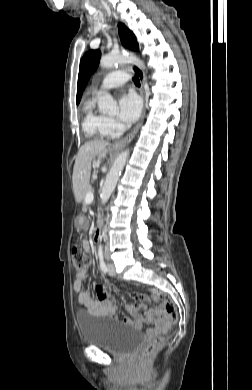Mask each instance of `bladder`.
<instances>
[{"label":"bladder","mask_w":252,"mask_h":390,"mask_svg":"<svg viewBox=\"0 0 252 390\" xmlns=\"http://www.w3.org/2000/svg\"><path fill=\"white\" fill-rule=\"evenodd\" d=\"M77 320L86 344L115 354L127 353L143 341L141 332L115 320L84 314H78Z\"/></svg>","instance_id":"bladder-1"}]
</instances>
